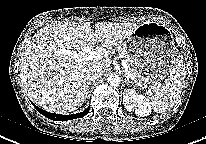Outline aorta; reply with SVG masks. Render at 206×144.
<instances>
[{"mask_svg": "<svg viewBox=\"0 0 206 144\" xmlns=\"http://www.w3.org/2000/svg\"><path fill=\"white\" fill-rule=\"evenodd\" d=\"M120 77L117 74H111L107 78V82L110 86H118L120 84Z\"/></svg>", "mask_w": 206, "mask_h": 144, "instance_id": "obj_1", "label": "aorta"}]
</instances>
